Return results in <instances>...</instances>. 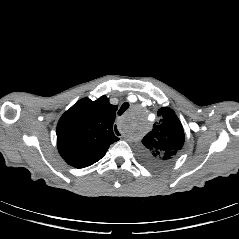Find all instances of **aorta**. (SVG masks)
Instances as JSON below:
<instances>
[{
    "label": "aorta",
    "mask_w": 239,
    "mask_h": 239,
    "mask_svg": "<svg viewBox=\"0 0 239 239\" xmlns=\"http://www.w3.org/2000/svg\"><path fill=\"white\" fill-rule=\"evenodd\" d=\"M143 118L137 114H130L123 123V130L128 136H133L141 130Z\"/></svg>",
    "instance_id": "aorta-1"
}]
</instances>
